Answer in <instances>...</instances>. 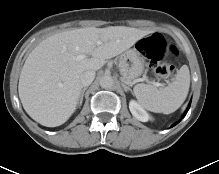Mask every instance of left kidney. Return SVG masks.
<instances>
[{
	"instance_id": "5707ae66",
	"label": "left kidney",
	"mask_w": 219,
	"mask_h": 174,
	"mask_svg": "<svg viewBox=\"0 0 219 174\" xmlns=\"http://www.w3.org/2000/svg\"><path fill=\"white\" fill-rule=\"evenodd\" d=\"M129 109L132 115L142 122H147L150 119L149 114L144 110V108L135 100L129 102Z\"/></svg>"
}]
</instances>
